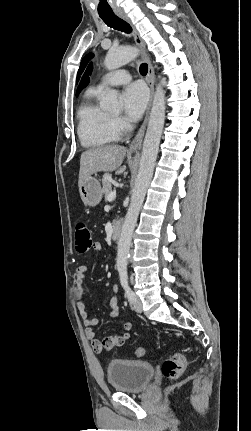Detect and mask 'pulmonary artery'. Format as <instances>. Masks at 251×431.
<instances>
[{
    "label": "pulmonary artery",
    "mask_w": 251,
    "mask_h": 431,
    "mask_svg": "<svg viewBox=\"0 0 251 431\" xmlns=\"http://www.w3.org/2000/svg\"><path fill=\"white\" fill-rule=\"evenodd\" d=\"M131 80L130 74L126 70H117L107 74L97 85L98 89L106 86H117L128 83Z\"/></svg>",
    "instance_id": "pulmonary-artery-1"
}]
</instances>
